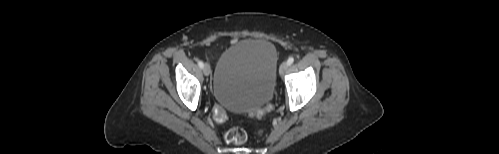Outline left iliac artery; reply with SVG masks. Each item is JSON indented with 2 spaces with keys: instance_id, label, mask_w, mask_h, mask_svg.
Returning <instances> with one entry per match:
<instances>
[{
  "instance_id": "obj_1",
  "label": "left iliac artery",
  "mask_w": 499,
  "mask_h": 154,
  "mask_svg": "<svg viewBox=\"0 0 499 154\" xmlns=\"http://www.w3.org/2000/svg\"><path fill=\"white\" fill-rule=\"evenodd\" d=\"M294 62V57H289L287 60V64L290 66Z\"/></svg>"
}]
</instances>
